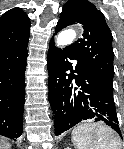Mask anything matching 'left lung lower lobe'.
<instances>
[{
    "label": "left lung lower lobe",
    "mask_w": 124,
    "mask_h": 149,
    "mask_svg": "<svg viewBox=\"0 0 124 149\" xmlns=\"http://www.w3.org/2000/svg\"><path fill=\"white\" fill-rule=\"evenodd\" d=\"M73 60H77V63L74 64ZM47 68L48 97L55 114L56 135L82 120L93 119L105 123L123 139L113 100V88L93 76L73 50L69 47L57 48L52 38Z\"/></svg>",
    "instance_id": "1"
}]
</instances>
